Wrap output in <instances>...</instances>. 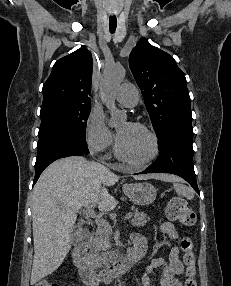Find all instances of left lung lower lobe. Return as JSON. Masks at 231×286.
<instances>
[{
  "instance_id": "1",
  "label": "left lung lower lobe",
  "mask_w": 231,
  "mask_h": 286,
  "mask_svg": "<svg viewBox=\"0 0 231 286\" xmlns=\"http://www.w3.org/2000/svg\"><path fill=\"white\" fill-rule=\"evenodd\" d=\"M160 155L139 174L166 172L185 179L199 193L193 167L192 123L175 122L157 135Z\"/></svg>"
}]
</instances>
